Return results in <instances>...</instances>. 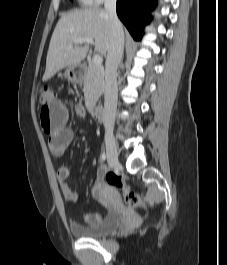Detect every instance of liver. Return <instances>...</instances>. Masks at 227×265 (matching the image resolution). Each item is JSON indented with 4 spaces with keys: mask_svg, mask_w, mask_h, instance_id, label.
<instances>
[{
    "mask_svg": "<svg viewBox=\"0 0 227 265\" xmlns=\"http://www.w3.org/2000/svg\"><path fill=\"white\" fill-rule=\"evenodd\" d=\"M85 37L95 40V51L106 55L111 42V22L106 11L86 8L61 16L50 40L43 81L63 68L79 65L85 59L89 44L74 43L75 39Z\"/></svg>",
    "mask_w": 227,
    "mask_h": 265,
    "instance_id": "obj_1",
    "label": "liver"
}]
</instances>
